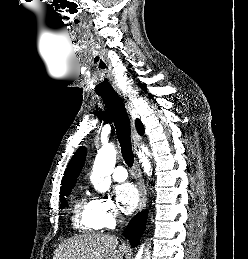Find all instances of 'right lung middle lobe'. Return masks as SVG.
Here are the masks:
<instances>
[{
  "mask_svg": "<svg viewBox=\"0 0 248 259\" xmlns=\"http://www.w3.org/2000/svg\"><path fill=\"white\" fill-rule=\"evenodd\" d=\"M70 192H71V189L60 192V194H61L60 202H61L62 207H65L67 205V201L64 196H68L70 194Z\"/></svg>",
  "mask_w": 248,
  "mask_h": 259,
  "instance_id": "obj_1",
  "label": "right lung middle lobe"
}]
</instances>
